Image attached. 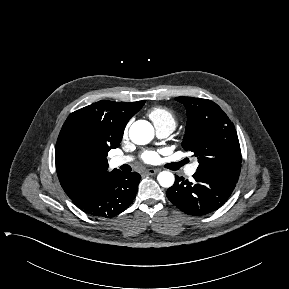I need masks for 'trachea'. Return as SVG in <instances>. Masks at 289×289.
Segmentation results:
<instances>
[{"label": "trachea", "mask_w": 289, "mask_h": 289, "mask_svg": "<svg viewBox=\"0 0 289 289\" xmlns=\"http://www.w3.org/2000/svg\"><path fill=\"white\" fill-rule=\"evenodd\" d=\"M186 162H187L186 160H183L180 163H178V166L180 167V166L184 165Z\"/></svg>", "instance_id": "obj_1"}]
</instances>
